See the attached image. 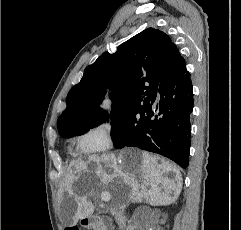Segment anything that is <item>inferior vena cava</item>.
I'll list each match as a JSON object with an SVG mask.
<instances>
[{
    "label": "inferior vena cava",
    "mask_w": 241,
    "mask_h": 230,
    "mask_svg": "<svg viewBox=\"0 0 241 230\" xmlns=\"http://www.w3.org/2000/svg\"><path fill=\"white\" fill-rule=\"evenodd\" d=\"M115 219L118 224H124L126 222V217L123 215L122 211L116 213Z\"/></svg>",
    "instance_id": "602c4592"
}]
</instances>
